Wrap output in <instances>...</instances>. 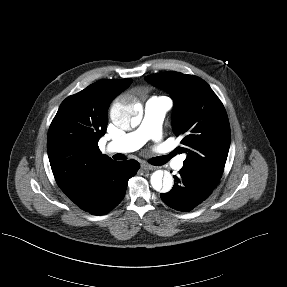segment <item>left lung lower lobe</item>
<instances>
[{"instance_id":"left-lung-lower-lobe-1","label":"left lung lower lobe","mask_w":287,"mask_h":287,"mask_svg":"<svg viewBox=\"0 0 287 287\" xmlns=\"http://www.w3.org/2000/svg\"><path fill=\"white\" fill-rule=\"evenodd\" d=\"M175 184L168 193L160 197L169 207L190 211L204 201L215 189L216 184L206 179L196 169L184 165L178 176H174Z\"/></svg>"}]
</instances>
